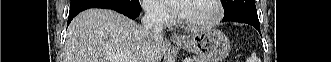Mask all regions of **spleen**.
I'll return each instance as SVG.
<instances>
[{
	"mask_svg": "<svg viewBox=\"0 0 331 62\" xmlns=\"http://www.w3.org/2000/svg\"><path fill=\"white\" fill-rule=\"evenodd\" d=\"M255 60H257V59H256V55H255V53H253V54L251 55V57L248 59L247 62H256Z\"/></svg>",
	"mask_w": 331,
	"mask_h": 62,
	"instance_id": "spleen-1",
	"label": "spleen"
}]
</instances>
